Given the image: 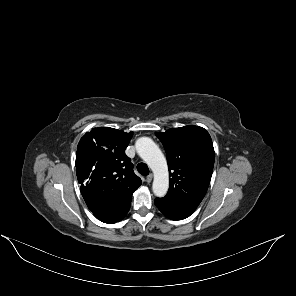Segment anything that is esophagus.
Returning <instances> with one entry per match:
<instances>
[{
    "instance_id": "obj_1",
    "label": "esophagus",
    "mask_w": 296,
    "mask_h": 296,
    "mask_svg": "<svg viewBox=\"0 0 296 296\" xmlns=\"http://www.w3.org/2000/svg\"><path fill=\"white\" fill-rule=\"evenodd\" d=\"M152 179H153V175L150 174V175H148V176L146 177V182H147V183H150V182L152 181Z\"/></svg>"
}]
</instances>
